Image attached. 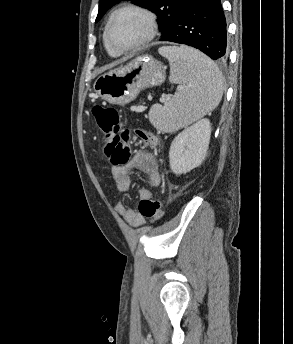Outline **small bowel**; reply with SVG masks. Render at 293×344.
<instances>
[{"label":"small bowel","instance_id":"c3829d8e","mask_svg":"<svg viewBox=\"0 0 293 344\" xmlns=\"http://www.w3.org/2000/svg\"><path fill=\"white\" fill-rule=\"evenodd\" d=\"M133 171H141L148 176L152 186H160L162 176L156 158L148 151L139 150L135 153L130 163L112 169V177L119 192H128L132 183L130 174ZM139 196L141 200L150 199L152 198V192L148 189H141ZM116 211L133 227H139L145 222V217L139 211L128 207L123 202H119L116 205Z\"/></svg>","mask_w":293,"mask_h":344}]
</instances>
